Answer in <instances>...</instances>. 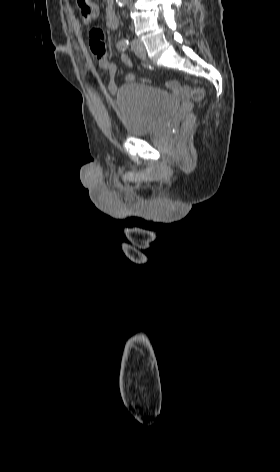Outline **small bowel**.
<instances>
[{
  "instance_id": "small-bowel-1",
  "label": "small bowel",
  "mask_w": 280,
  "mask_h": 472,
  "mask_svg": "<svg viewBox=\"0 0 280 472\" xmlns=\"http://www.w3.org/2000/svg\"><path fill=\"white\" fill-rule=\"evenodd\" d=\"M105 36L102 29L94 27L89 31V47L91 53L94 55L98 67L105 71L108 74L109 82H108V92L110 94H115L117 91V84H116V76H117V65L111 62L106 56V49H105ZM121 61L130 68H133L132 62L130 59L122 55ZM135 79V73L131 72L127 74L126 81H133ZM169 85L171 87H176L175 82H170Z\"/></svg>"
}]
</instances>
